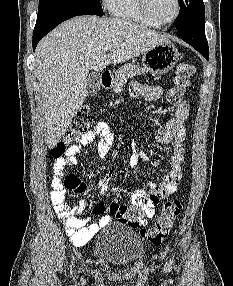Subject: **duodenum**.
<instances>
[{"mask_svg": "<svg viewBox=\"0 0 233 286\" xmlns=\"http://www.w3.org/2000/svg\"><path fill=\"white\" fill-rule=\"evenodd\" d=\"M112 80H113V75L110 71L102 72L101 77H100V83L104 89H108L111 87Z\"/></svg>", "mask_w": 233, "mask_h": 286, "instance_id": "410a0bca", "label": "duodenum"}]
</instances>
